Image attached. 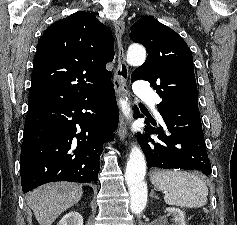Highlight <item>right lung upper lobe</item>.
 <instances>
[{"label": "right lung upper lobe", "mask_w": 237, "mask_h": 225, "mask_svg": "<svg viewBox=\"0 0 237 225\" xmlns=\"http://www.w3.org/2000/svg\"><path fill=\"white\" fill-rule=\"evenodd\" d=\"M113 58V36L92 13L53 23L37 45L28 110L70 102L110 84L105 66Z\"/></svg>", "instance_id": "cb5924a9"}]
</instances>
